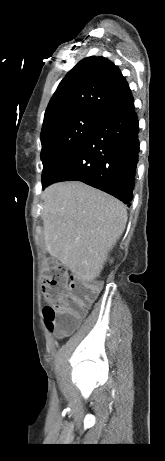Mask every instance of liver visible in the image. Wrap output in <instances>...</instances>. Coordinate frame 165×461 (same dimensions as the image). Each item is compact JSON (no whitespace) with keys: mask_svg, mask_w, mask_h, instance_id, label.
I'll return each mask as SVG.
<instances>
[{"mask_svg":"<svg viewBox=\"0 0 165 461\" xmlns=\"http://www.w3.org/2000/svg\"><path fill=\"white\" fill-rule=\"evenodd\" d=\"M42 199L47 252L84 280L98 277L125 229L124 204L82 182L53 184Z\"/></svg>","mask_w":165,"mask_h":461,"instance_id":"6515ba94","label":"liver"}]
</instances>
